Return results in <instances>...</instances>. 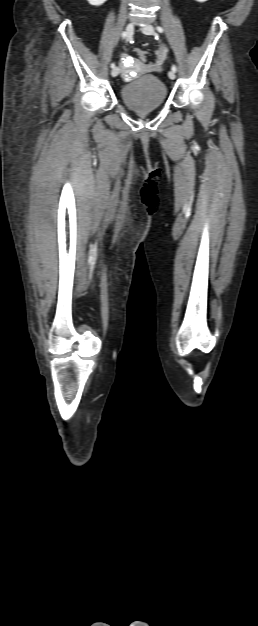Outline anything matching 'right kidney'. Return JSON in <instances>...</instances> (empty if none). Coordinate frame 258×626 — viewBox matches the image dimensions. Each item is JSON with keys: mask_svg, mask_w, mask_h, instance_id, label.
Instances as JSON below:
<instances>
[{"mask_svg": "<svg viewBox=\"0 0 258 626\" xmlns=\"http://www.w3.org/2000/svg\"><path fill=\"white\" fill-rule=\"evenodd\" d=\"M87 1L89 2V4H91L93 6H100L104 2H106L107 0H87Z\"/></svg>", "mask_w": 258, "mask_h": 626, "instance_id": "1", "label": "right kidney"}]
</instances>
